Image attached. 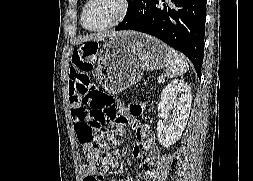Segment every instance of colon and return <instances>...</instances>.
I'll return each mask as SVG.
<instances>
[{
  "instance_id": "obj_1",
  "label": "colon",
  "mask_w": 253,
  "mask_h": 181,
  "mask_svg": "<svg viewBox=\"0 0 253 181\" xmlns=\"http://www.w3.org/2000/svg\"><path fill=\"white\" fill-rule=\"evenodd\" d=\"M81 48L73 51V60L98 55V50L93 49L99 48V41H84ZM71 104L76 137L87 152V165L104 167L108 161V149L103 139V125L116 114L115 98L90 87L87 93L74 97Z\"/></svg>"
}]
</instances>
